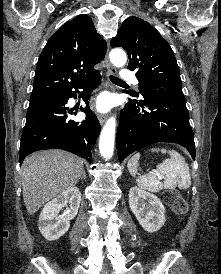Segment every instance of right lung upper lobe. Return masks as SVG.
<instances>
[{"instance_id": "1", "label": "right lung upper lobe", "mask_w": 221, "mask_h": 274, "mask_svg": "<svg viewBox=\"0 0 221 274\" xmlns=\"http://www.w3.org/2000/svg\"><path fill=\"white\" fill-rule=\"evenodd\" d=\"M106 50L88 15L66 22L39 57L30 102L61 95L95 77L99 72L94 65L102 61Z\"/></svg>"}]
</instances>
